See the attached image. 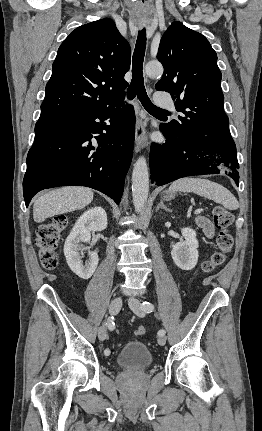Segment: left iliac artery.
Masks as SVG:
<instances>
[{
    "label": "left iliac artery",
    "mask_w": 262,
    "mask_h": 431,
    "mask_svg": "<svg viewBox=\"0 0 262 431\" xmlns=\"http://www.w3.org/2000/svg\"><path fill=\"white\" fill-rule=\"evenodd\" d=\"M142 308L146 312H152L154 309V305L148 301H144L142 303ZM158 335H165V330H163V329L159 330Z\"/></svg>",
    "instance_id": "44dca946"
}]
</instances>
